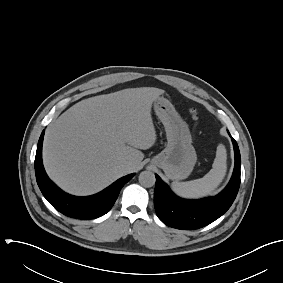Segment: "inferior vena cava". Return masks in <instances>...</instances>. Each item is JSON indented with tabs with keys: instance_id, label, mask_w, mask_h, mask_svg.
Returning <instances> with one entry per match:
<instances>
[{
	"instance_id": "1",
	"label": "inferior vena cava",
	"mask_w": 283,
	"mask_h": 283,
	"mask_svg": "<svg viewBox=\"0 0 283 283\" xmlns=\"http://www.w3.org/2000/svg\"><path fill=\"white\" fill-rule=\"evenodd\" d=\"M121 167L126 170L130 167V163L129 162H125L124 164L121 165Z\"/></svg>"
}]
</instances>
